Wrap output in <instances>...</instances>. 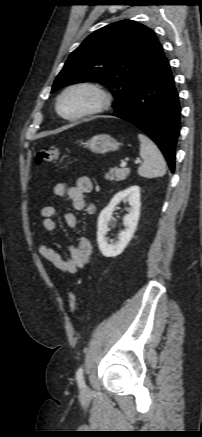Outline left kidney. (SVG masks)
I'll use <instances>...</instances> for the list:
<instances>
[{
	"mask_svg": "<svg viewBox=\"0 0 202 437\" xmlns=\"http://www.w3.org/2000/svg\"><path fill=\"white\" fill-rule=\"evenodd\" d=\"M128 202L130 205L129 214L123 217L125 229L118 235L114 243H109L107 232L115 207L121 202ZM140 188L131 186L126 190L118 192L110 201L108 206L102 210L98 218L97 241L101 253L105 257H115L123 252L132 239L140 216Z\"/></svg>",
	"mask_w": 202,
	"mask_h": 437,
	"instance_id": "5707ae66",
	"label": "left kidney"
}]
</instances>
